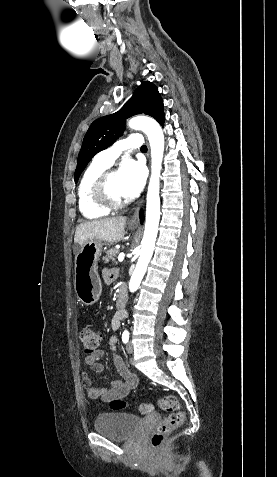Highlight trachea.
I'll return each mask as SVG.
<instances>
[{"mask_svg": "<svg viewBox=\"0 0 277 477\" xmlns=\"http://www.w3.org/2000/svg\"><path fill=\"white\" fill-rule=\"evenodd\" d=\"M141 151H147V146H146V145H143V146L141 147Z\"/></svg>", "mask_w": 277, "mask_h": 477, "instance_id": "3493384b", "label": "trachea"}]
</instances>
